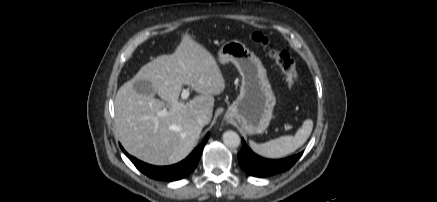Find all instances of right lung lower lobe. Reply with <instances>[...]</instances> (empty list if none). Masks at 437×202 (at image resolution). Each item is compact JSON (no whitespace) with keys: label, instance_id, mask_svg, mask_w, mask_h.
<instances>
[{"label":"right lung lower lobe","instance_id":"1","mask_svg":"<svg viewBox=\"0 0 437 202\" xmlns=\"http://www.w3.org/2000/svg\"><path fill=\"white\" fill-rule=\"evenodd\" d=\"M209 133L206 135L200 145H198L192 153L183 161L171 166H153L146 164L135 157L129 155L120 145L124 154L133 162L138 170L150 178L164 181L180 180L187 177L197 166L205 143L207 142Z\"/></svg>","mask_w":437,"mask_h":202}]
</instances>
